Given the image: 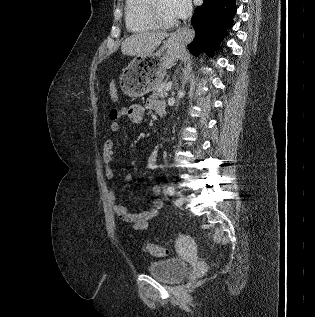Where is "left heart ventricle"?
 Returning a JSON list of instances; mask_svg holds the SVG:
<instances>
[{
    "mask_svg": "<svg viewBox=\"0 0 315 317\" xmlns=\"http://www.w3.org/2000/svg\"><path fill=\"white\" fill-rule=\"evenodd\" d=\"M156 8L159 18L164 22H170L176 20V17L172 13L168 0H156Z\"/></svg>",
    "mask_w": 315,
    "mask_h": 317,
    "instance_id": "b2bd125f",
    "label": "left heart ventricle"
}]
</instances>
